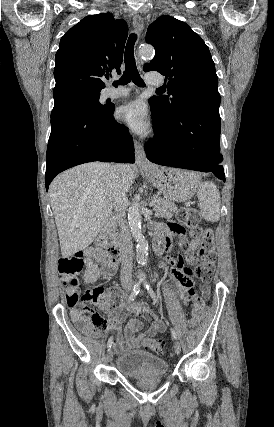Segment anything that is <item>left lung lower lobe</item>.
<instances>
[{"label": "left lung lower lobe", "mask_w": 274, "mask_h": 427, "mask_svg": "<svg viewBox=\"0 0 274 427\" xmlns=\"http://www.w3.org/2000/svg\"><path fill=\"white\" fill-rule=\"evenodd\" d=\"M149 104L156 136L145 144L147 158L164 166L213 172L225 181L219 111L191 106L168 114L151 99Z\"/></svg>", "instance_id": "0a47b994"}]
</instances>
